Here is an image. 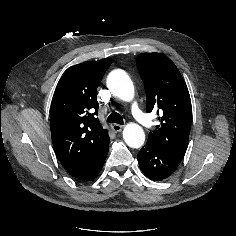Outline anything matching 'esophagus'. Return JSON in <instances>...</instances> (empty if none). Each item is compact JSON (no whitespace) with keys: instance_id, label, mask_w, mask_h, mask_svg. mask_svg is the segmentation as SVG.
<instances>
[{"instance_id":"34e87169","label":"esophagus","mask_w":236,"mask_h":236,"mask_svg":"<svg viewBox=\"0 0 236 236\" xmlns=\"http://www.w3.org/2000/svg\"><path fill=\"white\" fill-rule=\"evenodd\" d=\"M111 128H112V130H113L114 132H120V131L122 130L123 126H122V125H119V124H113V125L111 126Z\"/></svg>"}]
</instances>
